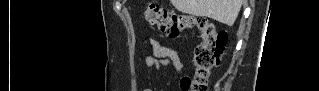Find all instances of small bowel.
Here are the masks:
<instances>
[{
    "label": "small bowel",
    "mask_w": 319,
    "mask_h": 91,
    "mask_svg": "<svg viewBox=\"0 0 319 91\" xmlns=\"http://www.w3.org/2000/svg\"><path fill=\"white\" fill-rule=\"evenodd\" d=\"M151 47L153 55L145 60L147 68H154L157 66H170L177 71H182L184 66L179 52L173 48L163 47L156 40H151Z\"/></svg>",
    "instance_id": "1"
}]
</instances>
